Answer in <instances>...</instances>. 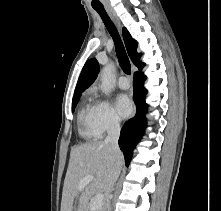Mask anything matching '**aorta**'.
<instances>
[{
	"instance_id": "obj_1",
	"label": "aorta",
	"mask_w": 221,
	"mask_h": 211,
	"mask_svg": "<svg viewBox=\"0 0 221 211\" xmlns=\"http://www.w3.org/2000/svg\"><path fill=\"white\" fill-rule=\"evenodd\" d=\"M114 67L107 65L101 72V85L100 88L103 93L109 94L114 83Z\"/></svg>"
}]
</instances>
